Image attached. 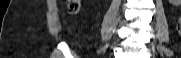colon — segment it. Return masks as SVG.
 <instances>
[{"label":"colon","instance_id":"1","mask_svg":"<svg viewBox=\"0 0 181 58\" xmlns=\"http://www.w3.org/2000/svg\"><path fill=\"white\" fill-rule=\"evenodd\" d=\"M67 5H68L69 10L72 13H76L79 10V7H80V3H79L78 0H68ZM178 31H179V33L181 35V18L179 19V22H178Z\"/></svg>","mask_w":181,"mask_h":58}]
</instances>
